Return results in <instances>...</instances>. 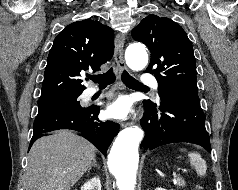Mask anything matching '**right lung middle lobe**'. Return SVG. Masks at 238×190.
Listing matches in <instances>:
<instances>
[{"label": "right lung middle lobe", "instance_id": "obj_1", "mask_svg": "<svg viewBox=\"0 0 238 190\" xmlns=\"http://www.w3.org/2000/svg\"><path fill=\"white\" fill-rule=\"evenodd\" d=\"M79 95L38 101V115H44L61 110L82 108L78 101Z\"/></svg>", "mask_w": 238, "mask_h": 190}]
</instances>
